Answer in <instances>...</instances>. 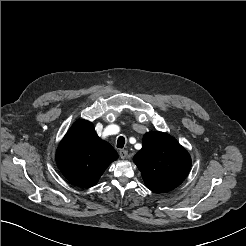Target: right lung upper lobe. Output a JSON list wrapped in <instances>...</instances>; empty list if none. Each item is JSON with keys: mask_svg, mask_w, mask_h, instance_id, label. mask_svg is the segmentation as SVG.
<instances>
[{"mask_svg": "<svg viewBox=\"0 0 246 246\" xmlns=\"http://www.w3.org/2000/svg\"><path fill=\"white\" fill-rule=\"evenodd\" d=\"M117 152L99 138L89 121L75 122L61 141L56 162L64 177L80 187L95 185Z\"/></svg>", "mask_w": 246, "mask_h": 246, "instance_id": "cb5924a9", "label": "right lung upper lobe"}]
</instances>
